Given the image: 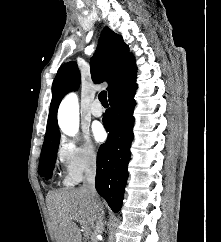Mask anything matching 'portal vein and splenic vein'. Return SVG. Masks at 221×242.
Returning a JSON list of instances; mask_svg holds the SVG:
<instances>
[{
  "instance_id": "obj_1",
  "label": "portal vein and splenic vein",
  "mask_w": 221,
  "mask_h": 242,
  "mask_svg": "<svg viewBox=\"0 0 221 242\" xmlns=\"http://www.w3.org/2000/svg\"><path fill=\"white\" fill-rule=\"evenodd\" d=\"M89 233H90V232H89L88 230H84V235H85V236H88Z\"/></svg>"
}]
</instances>
